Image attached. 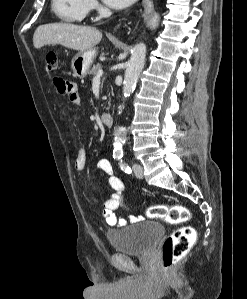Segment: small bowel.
Here are the masks:
<instances>
[{
  "label": "small bowel",
  "mask_w": 247,
  "mask_h": 299,
  "mask_svg": "<svg viewBox=\"0 0 247 299\" xmlns=\"http://www.w3.org/2000/svg\"><path fill=\"white\" fill-rule=\"evenodd\" d=\"M56 90L65 95L70 102L74 104L79 103L78 87L75 83L68 81L61 77H55L53 79ZM87 155L84 147H79L75 159V168L78 171H83L86 167ZM98 169L104 173L106 183L111 189L110 195L103 202V216L106 222L110 226H123L126 225V219L119 217L115 214V211L121 206L124 193L123 182L114 174V170L111 162L108 159H100L97 163ZM141 216H131L130 222H138L142 220Z\"/></svg>",
  "instance_id": "small-bowel-1"
}]
</instances>
